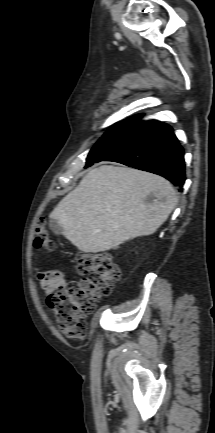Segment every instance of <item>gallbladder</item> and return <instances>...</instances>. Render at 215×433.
<instances>
[{"label": "gallbladder", "instance_id": "bac80fb5", "mask_svg": "<svg viewBox=\"0 0 215 433\" xmlns=\"http://www.w3.org/2000/svg\"><path fill=\"white\" fill-rule=\"evenodd\" d=\"M49 227L56 235H60L62 233V227L55 220H50Z\"/></svg>", "mask_w": 215, "mask_h": 433}]
</instances>
